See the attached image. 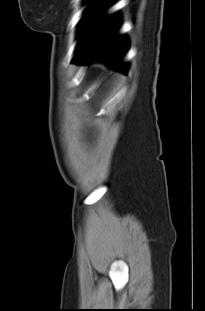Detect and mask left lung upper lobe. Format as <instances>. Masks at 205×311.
<instances>
[{
	"instance_id": "1",
	"label": "left lung upper lobe",
	"mask_w": 205,
	"mask_h": 311,
	"mask_svg": "<svg viewBox=\"0 0 205 311\" xmlns=\"http://www.w3.org/2000/svg\"><path fill=\"white\" fill-rule=\"evenodd\" d=\"M91 1V0H87ZM115 0H99L95 4L91 5L84 17L82 18L81 27V38L79 45L99 29L109 18L98 19V17L114 2ZM96 19H98L96 21Z\"/></svg>"
}]
</instances>
